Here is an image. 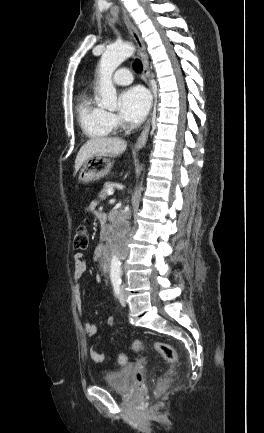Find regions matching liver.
<instances>
[{
	"instance_id": "liver-1",
	"label": "liver",
	"mask_w": 264,
	"mask_h": 433,
	"mask_svg": "<svg viewBox=\"0 0 264 433\" xmlns=\"http://www.w3.org/2000/svg\"><path fill=\"white\" fill-rule=\"evenodd\" d=\"M127 148V143L115 137L92 138L79 150L75 159V174L86 160L93 156H117Z\"/></svg>"
}]
</instances>
